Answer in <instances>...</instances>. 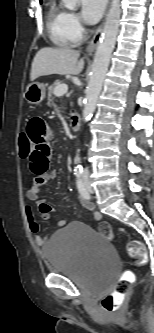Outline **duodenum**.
<instances>
[{
  "instance_id": "1",
  "label": "duodenum",
  "mask_w": 154,
  "mask_h": 333,
  "mask_svg": "<svg viewBox=\"0 0 154 333\" xmlns=\"http://www.w3.org/2000/svg\"><path fill=\"white\" fill-rule=\"evenodd\" d=\"M81 115L78 112H72L70 117V127L72 131H79L81 127Z\"/></svg>"
}]
</instances>
